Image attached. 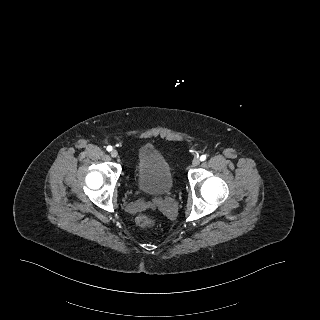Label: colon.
<instances>
[{"mask_svg": "<svg viewBox=\"0 0 320 320\" xmlns=\"http://www.w3.org/2000/svg\"><path fill=\"white\" fill-rule=\"evenodd\" d=\"M136 223L142 228H151L154 226V220L147 215H139L136 218Z\"/></svg>", "mask_w": 320, "mask_h": 320, "instance_id": "5ec220e1", "label": "colon"}]
</instances>
